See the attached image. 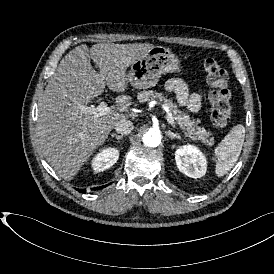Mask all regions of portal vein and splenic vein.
Listing matches in <instances>:
<instances>
[{"mask_svg": "<svg viewBox=\"0 0 274 274\" xmlns=\"http://www.w3.org/2000/svg\"><path fill=\"white\" fill-rule=\"evenodd\" d=\"M81 109L84 111H87L88 113H92L96 117L104 116L111 112L109 107L107 106V103L104 100L101 101L97 107L82 105ZM166 112H167V120L170 123V125L173 128H177L178 126L176 122L174 121V118L172 117V114L168 108H166Z\"/></svg>", "mask_w": 274, "mask_h": 274, "instance_id": "18ae733b", "label": "portal vein and splenic vein"}]
</instances>
